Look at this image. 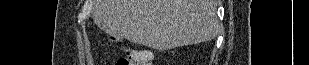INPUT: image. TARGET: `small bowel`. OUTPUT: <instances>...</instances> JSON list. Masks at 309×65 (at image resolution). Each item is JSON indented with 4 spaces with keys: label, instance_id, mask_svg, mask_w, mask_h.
<instances>
[{
    "label": "small bowel",
    "instance_id": "obj_1",
    "mask_svg": "<svg viewBox=\"0 0 309 65\" xmlns=\"http://www.w3.org/2000/svg\"><path fill=\"white\" fill-rule=\"evenodd\" d=\"M151 58H152V56H151L149 59H146V60L144 61V64L149 63V62L151 61Z\"/></svg>",
    "mask_w": 309,
    "mask_h": 65
}]
</instances>
